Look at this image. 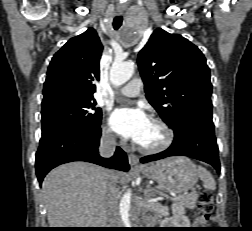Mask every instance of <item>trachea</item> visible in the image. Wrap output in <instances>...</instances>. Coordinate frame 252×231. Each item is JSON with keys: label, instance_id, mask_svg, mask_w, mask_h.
I'll return each mask as SVG.
<instances>
[{"label": "trachea", "instance_id": "trachea-1", "mask_svg": "<svg viewBox=\"0 0 252 231\" xmlns=\"http://www.w3.org/2000/svg\"><path fill=\"white\" fill-rule=\"evenodd\" d=\"M123 18L122 16H116L113 20V27L115 30H118L122 25Z\"/></svg>", "mask_w": 252, "mask_h": 231}]
</instances>
